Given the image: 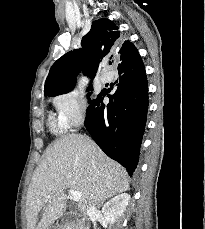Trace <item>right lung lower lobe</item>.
Masks as SVG:
<instances>
[{
	"label": "right lung lower lobe",
	"instance_id": "right-lung-lower-lobe-1",
	"mask_svg": "<svg viewBox=\"0 0 205 229\" xmlns=\"http://www.w3.org/2000/svg\"><path fill=\"white\" fill-rule=\"evenodd\" d=\"M118 72L116 92L107 95L102 90L96 100H89L84 124L99 147L132 176L146 124L148 84L142 60ZM106 95L110 99L107 106L103 104Z\"/></svg>",
	"mask_w": 205,
	"mask_h": 229
}]
</instances>
